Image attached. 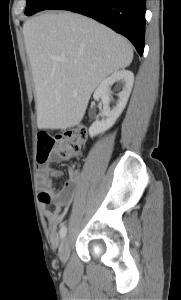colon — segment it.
I'll return each mask as SVG.
<instances>
[{
  "instance_id": "5ec220e1",
  "label": "colon",
  "mask_w": 181,
  "mask_h": 300,
  "mask_svg": "<svg viewBox=\"0 0 181 300\" xmlns=\"http://www.w3.org/2000/svg\"><path fill=\"white\" fill-rule=\"evenodd\" d=\"M86 139L87 130L82 125L69 128L63 134L55 137L40 133L38 135L37 161L45 162L53 149L59 157L68 159L81 151Z\"/></svg>"
}]
</instances>
